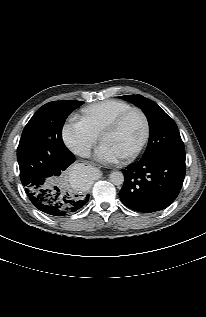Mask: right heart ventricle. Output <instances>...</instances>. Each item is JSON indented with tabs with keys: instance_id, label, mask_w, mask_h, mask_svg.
<instances>
[{
	"instance_id": "1",
	"label": "right heart ventricle",
	"mask_w": 206,
	"mask_h": 317,
	"mask_svg": "<svg viewBox=\"0 0 206 317\" xmlns=\"http://www.w3.org/2000/svg\"><path fill=\"white\" fill-rule=\"evenodd\" d=\"M131 107L124 101L105 100L82 108L80 118L95 135L99 136L112 119Z\"/></svg>"
}]
</instances>
